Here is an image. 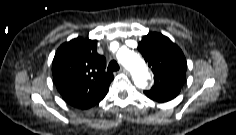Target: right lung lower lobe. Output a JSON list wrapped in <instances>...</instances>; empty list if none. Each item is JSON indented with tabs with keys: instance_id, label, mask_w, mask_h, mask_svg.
<instances>
[{
	"instance_id": "1",
	"label": "right lung lower lobe",
	"mask_w": 236,
	"mask_h": 135,
	"mask_svg": "<svg viewBox=\"0 0 236 135\" xmlns=\"http://www.w3.org/2000/svg\"><path fill=\"white\" fill-rule=\"evenodd\" d=\"M104 97H105V96H104ZM104 97H102L101 99H99V100L93 102L92 104H89V105H86V106H83V107H78V108H80V109H88V108H90V107L96 105L97 103H99Z\"/></svg>"
}]
</instances>
